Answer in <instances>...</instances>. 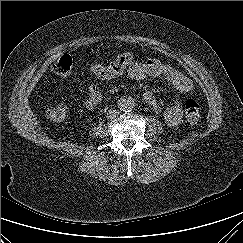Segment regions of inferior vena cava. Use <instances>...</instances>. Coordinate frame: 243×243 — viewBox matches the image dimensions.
I'll use <instances>...</instances> for the list:
<instances>
[{
	"mask_svg": "<svg viewBox=\"0 0 243 243\" xmlns=\"http://www.w3.org/2000/svg\"><path fill=\"white\" fill-rule=\"evenodd\" d=\"M118 115H119L118 110H109L106 117L108 119L112 120V119H115L116 117H118Z\"/></svg>",
	"mask_w": 243,
	"mask_h": 243,
	"instance_id": "inferior-vena-cava-1",
	"label": "inferior vena cava"
}]
</instances>
